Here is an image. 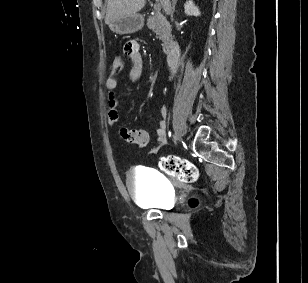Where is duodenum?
Here are the masks:
<instances>
[{"label": "duodenum", "instance_id": "410a0bca", "mask_svg": "<svg viewBox=\"0 0 308 283\" xmlns=\"http://www.w3.org/2000/svg\"><path fill=\"white\" fill-rule=\"evenodd\" d=\"M181 55V47L177 42H174L171 50L167 53V65L170 71L175 72Z\"/></svg>", "mask_w": 308, "mask_h": 283}]
</instances>
